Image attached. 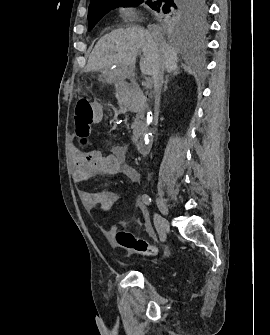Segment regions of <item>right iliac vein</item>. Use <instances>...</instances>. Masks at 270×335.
Returning <instances> with one entry per match:
<instances>
[{"label": "right iliac vein", "mask_w": 270, "mask_h": 335, "mask_svg": "<svg viewBox=\"0 0 270 335\" xmlns=\"http://www.w3.org/2000/svg\"><path fill=\"white\" fill-rule=\"evenodd\" d=\"M156 203L162 215L164 216L168 215L169 210H168L167 203L165 199L159 194H156ZM163 225L166 229L169 228V224L165 219L163 220Z\"/></svg>", "instance_id": "obj_1"}]
</instances>
